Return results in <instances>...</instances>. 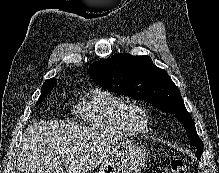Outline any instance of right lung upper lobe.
Listing matches in <instances>:
<instances>
[{
    "label": "right lung upper lobe",
    "mask_w": 219,
    "mask_h": 173,
    "mask_svg": "<svg viewBox=\"0 0 219 173\" xmlns=\"http://www.w3.org/2000/svg\"><path fill=\"white\" fill-rule=\"evenodd\" d=\"M47 81H52V82H54V83H57V80H56L55 78L49 79V80H47ZM45 82H46V81H45Z\"/></svg>",
    "instance_id": "cb5924a9"
}]
</instances>
